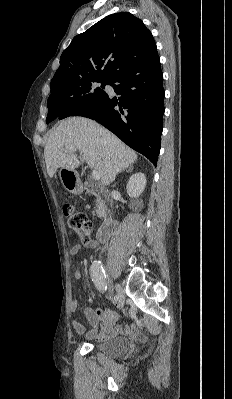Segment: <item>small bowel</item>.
Segmentation results:
<instances>
[{"label": "small bowel", "mask_w": 232, "mask_h": 399, "mask_svg": "<svg viewBox=\"0 0 232 399\" xmlns=\"http://www.w3.org/2000/svg\"><path fill=\"white\" fill-rule=\"evenodd\" d=\"M99 247L96 242H78L74 246V252H78L82 249L95 250ZM85 265L84 257L78 259V266L83 268ZM78 278H83V273L78 272ZM79 306V300L72 298L70 300L69 309L71 312L77 310ZM83 314L87 320L88 326L91 328L88 333V338H97L105 343H111L115 341V337L119 332L134 333L142 329L143 324L141 322H134L131 324L116 322L118 313L116 310L109 307H85ZM100 319H105L106 322H100ZM74 329L78 334H84L86 327L83 323L78 320L73 321Z\"/></svg>", "instance_id": "1"}]
</instances>
